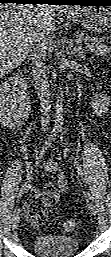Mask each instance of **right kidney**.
<instances>
[{"label": "right kidney", "instance_id": "right-kidney-1", "mask_svg": "<svg viewBox=\"0 0 111 257\" xmlns=\"http://www.w3.org/2000/svg\"><path fill=\"white\" fill-rule=\"evenodd\" d=\"M29 97L26 94L24 75L16 74L7 78L0 87L1 120L9 123L21 110L30 108Z\"/></svg>", "mask_w": 111, "mask_h": 257}]
</instances>
